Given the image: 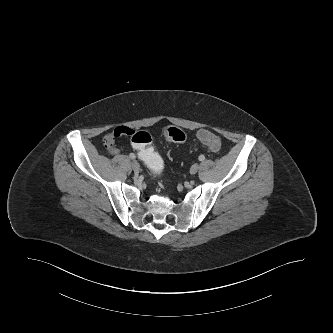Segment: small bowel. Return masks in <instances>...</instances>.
Returning <instances> with one entry per match:
<instances>
[{"mask_svg": "<svg viewBox=\"0 0 333 333\" xmlns=\"http://www.w3.org/2000/svg\"><path fill=\"white\" fill-rule=\"evenodd\" d=\"M117 137L133 140L136 137V132L128 127H118L113 132L105 135L103 145L111 155H117L121 152V149L115 143Z\"/></svg>", "mask_w": 333, "mask_h": 333, "instance_id": "small-bowel-1", "label": "small bowel"}]
</instances>
